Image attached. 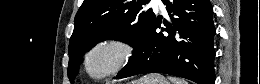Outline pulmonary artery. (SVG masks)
Instances as JSON below:
<instances>
[{"instance_id": "pulmonary-artery-1", "label": "pulmonary artery", "mask_w": 260, "mask_h": 84, "mask_svg": "<svg viewBox=\"0 0 260 84\" xmlns=\"http://www.w3.org/2000/svg\"><path fill=\"white\" fill-rule=\"evenodd\" d=\"M151 4L155 7H157V6H161L162 2H161V0H151Z\"/></svg>"}]
</instances>
